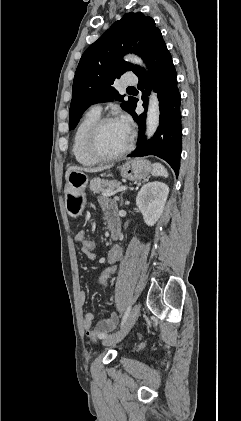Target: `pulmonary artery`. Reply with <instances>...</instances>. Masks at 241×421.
I'll return each mask as SVG.
<instances>
[{
	"instance_id": "obj_1",
	"label": "pulmonary artery",
	"mask_w": 241,
	"mask_h": 421,
	"mask_svg": "<svg viewBox=\"0 0 241 421\" xmlns=\"http://www.w3.org/2000/svg\"><path fill=\"white\" fill-rule=\"evenodd\" d=\"M137 81H138L137 78L134 77V76L126 77L123 80V85L124 86H132V85H135L137 83ZM91 109L98 112V113H100V111H101V107L98 104L92 105Z\"/></svg>"
}]
</instances>
